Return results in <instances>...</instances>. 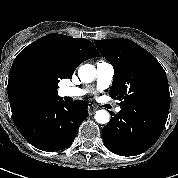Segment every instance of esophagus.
<instances>
[{
  "label": "esophagus",
  "instance_id": "1",
  "mask_svg": "<svg viewBox=\"0 0 178 178\" xmlns=\"http://www.w3.org/2000/svg\"><path fill=\"white\" fill-rule=\"evenodd\" d=\"M97 110V107L93 105H89V114L92 115Z\"/></svg>",
  "mask_w": 178,
  "mask_h": 178
}]
</instances>
